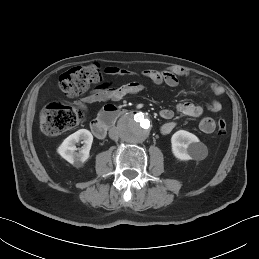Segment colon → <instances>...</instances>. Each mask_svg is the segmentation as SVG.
Returning a JSON list of instances; mask_svg holds the SVG:
<instances>
[{
  "label": "colon",
  "instance_id": "5ec220e1",
  "mask_svg": "<svg viewBox=\"0 0 259 259\" xmlns=\"http://www.w3.org/2000/svg\"><path fill=\"white\" fill-rule=\"evenodd\" d=\"M102 74L96 65L74 67L63 73L58 82L59 89L69 97L81 95L90 85L100 82ZM85 117L84 110L80 107L51 102L47 104L40 114V128L47 136L59 135L81 122ZM216 128L219 134H224L227 129L225 119L216 116Z\"/></svg>",
  "mask_w": 259,
  "mask_h": 259
}]
</instances>
